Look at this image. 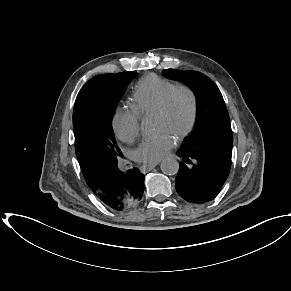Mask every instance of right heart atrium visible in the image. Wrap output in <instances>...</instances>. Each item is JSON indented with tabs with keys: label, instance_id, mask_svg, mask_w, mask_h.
Segmentation results:
<instances>
[{
	"label": "right heart atrium",
	"instance_id": "d8ad5b80",
	"mask_svg": "<svg viewBox=\"0 0 291 291\" xmlns=\"http://www.w3.org/2000/svg\"><path fill=\"white\" fill-rule=\"evenodd\" d=\"M112 128L117 138L125 143H132L140 135V118L131 109L119 107L113 114Z\"/></svg>",
	"mask_w": 291,
	"mask_h": 291
}]
</instances>
